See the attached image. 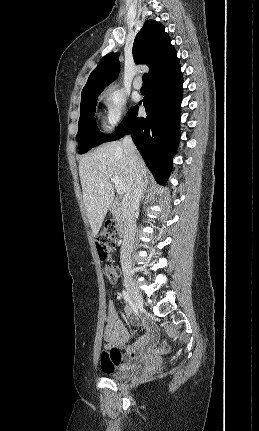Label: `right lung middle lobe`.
I'll list each match as a JSON object with an SVG mask.
<instances>
[{"label":"right lung middle lobe","mask_w":259,"mask_h":431,"mask_svg":"<svg viewBox=\"0 0 259 431\" xmlns=\"http://www.w3.org/2000/svg\"><path fill=\"white\" fill-rule=\"evenodd\" d=\"M100 93H90L81 98V112L77 133L80 154L86 153L91 148L105 142L109 136L99 131L94 117L97 98Z\"/></svg>","instance_id":"right-lung-middle-lobe-1"}]
</instances>
